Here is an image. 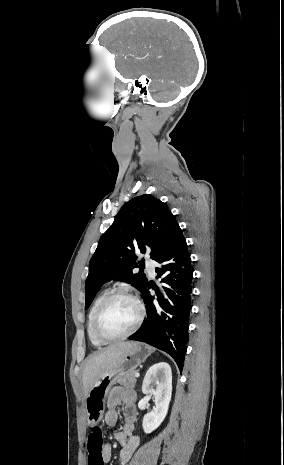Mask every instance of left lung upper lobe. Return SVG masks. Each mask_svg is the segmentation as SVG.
<instances>
[{"instance_id": "obj_1", "label": "left lung upper lobe", "mask_w": 284, "mask_h": 465, "mask_svg": "<svg viewBox=\"0 0 284 465\" xmlns=\"http://www.w3.org/2000/svg\"><path fill=\"white\" fill-rule=\"evenodd\" d=\"M179 225L167 205L145 194L124 204L115 221L101 237L89 263L85 309L107 281L116 279L132 284L140 291L147 283L145 274L132 270L141 267L136 251H150L156 260L170 245Z\"/></svg>"}]
</instances>
